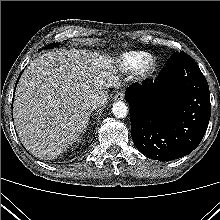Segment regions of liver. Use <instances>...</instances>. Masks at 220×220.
<instances>
[{
	"mask_svg": "<svg viewBox=\"0 0 220 220\" xmlns=\"http://www.w3.org/2000/svg\"><path fill=\"white\" fill-rule=\"evenodd\" d=\"M111 56L87 50L49 51L33 60L17 85L14 124L35 157L57 158L86 130L92 95L102 97L120 85Z\"/></svg>",
	"mask_w": 220,
	"mask_h": 220,
	"instance_id": "6515ba94",
	"label": "liver"
}]
</instances>
